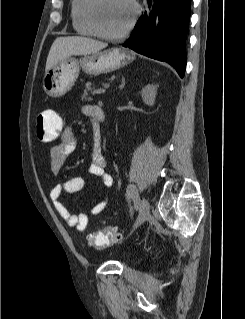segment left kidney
Returning a JSON list of instances; mask_svg holds the SVG:
<instances>
[{"mask_svg": "<svg viewBox=\"0 0 245 319\" xmlns=\"http://www.w3.org/2000/svg\"><path fill=\"white\" fill-rule=\"evenodd\" d=\"M157 94V87L153 84L146 85L141 93L143 102L146 105L152 106L155 103V98Z\"/></svg>", "mask_w": 245, "mask_h": 319, "instance_id": "obj_1", "label": "left kidney"}]
</instances>
